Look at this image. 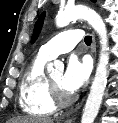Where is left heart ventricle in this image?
<instances>
[{
	"label": "left heart ventricle",
	"instance_id": "b2bd125f",
	"mask_svg": "<svg viewBox=\"0 0 118 123\" xmlns=\"http://www.w3.org/2000/svg\"><path fill=\"white\" fill-rule=\"evenodd\" d=\"M52 82L58 87V89L63 93V94H69L62 85V80H63V73L59 72L54 74L51 77Z\"/></svg>",
	"mask_w": 118,
	"mask_h": 123
}]
</instances>
